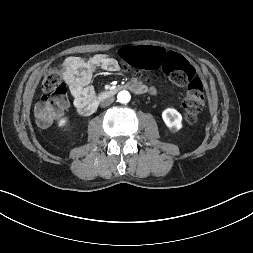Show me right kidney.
I'll return each mask as SVG.
<instances>
[{
  "label": "right kidney",
  "mask_w": 253,
  "mask_h": 253,
  "mask_svg": "<svg viewBox=\"0 0 253 253\" xmlns=\"http://www.w3.org/2000/svg\"><path fill=\"white\" fill-rule=\"evenodd\" d=\"M67 123H68V118L64 117V118H62V119L59 120L58 126L61 127V128H63V127H65L67 125Z\"/></svg>",
  "instance_id": "obj_1"
}]
</instances>
